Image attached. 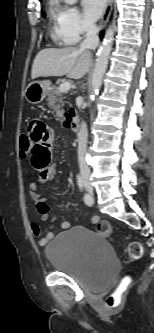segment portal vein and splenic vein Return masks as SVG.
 <instances>
[{"label": "portal vein and splenic vein", "mask_w": 154, "mask_h": 333, "mask_svg": "<svg viewBox=\"0 0 154 333\" xmlns=\"http://www.w3.org/2000/svg\"><path fill=\"white\" fill-rule=\"evenodd\" d=\"M70 88H71V83L67 81V82L60 84L58 90L60 92H66V91L70 90Z\"/></svg>", "instance_id": "portal-vein-and-splenic-vein-1"}]
</instances>
